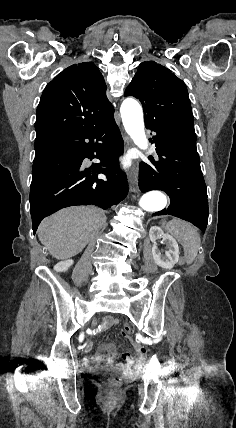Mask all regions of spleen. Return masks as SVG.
<instances>
[{
    "mask_svg": "<svg viewBox=\"0 0 236 428\" xmlns=\"http://www.w3.org/2000/svg\"><path fill=\"white\" fill-rule=\"evenodd\" d=\"M166 230L183 246L186 264H192L198 254L201 242L197 228L188 222L175 218V220L167 222Z\"/></svg>",
    "mask_w": 236,
    "mask_h": 428,
    "instance_id": "spleen-1",
    "label": "spleen"
}]
</instances>
